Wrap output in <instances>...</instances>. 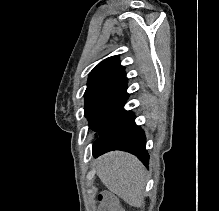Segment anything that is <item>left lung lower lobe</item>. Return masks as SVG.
I'll return each mask as SVG.
<instances>
[{"instance_id":"0a47b994","label":"left lung lower lobe","mask_w":219,"mask_h":211,"mask_svg":"<svg viewBox=\"0 0 219 211\" xmlns=\"http://www.w3.org/2000/svg\"><path fill=\"white\" fill-rule=\"evenodd\" d=\"M134 119L135 115L128 111L111 132L97 138L93 144L94 157L112 150H122L137 155L138 159L148 166L149 154L146 150V137Z\"/></svg>"}]
</instances>
